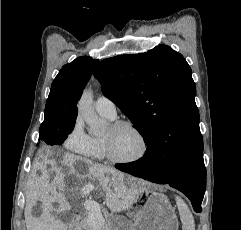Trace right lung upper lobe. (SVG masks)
I'll return each mask as SVG.
<instances>
[{
    "instance_id": "obj_1",
    "label": "right lung upper lobe",
    "mask_w": 241,
    "mask_h": 230,
    "mask_svg": "<svg viewBox=\"0 0 241 230\" xmlns=\"http://www.w3.org/2000/svg\"><path fill=\"white\" fill-rule=\"evenodd\" d=\"M98 64L97 59L81 56L62 67L51 86L44 111L45 120L77 118L76 101Z\"/></svg>"
}]
</instances>
